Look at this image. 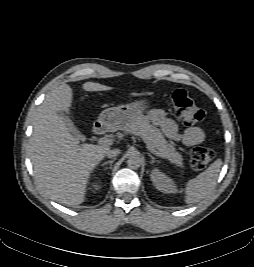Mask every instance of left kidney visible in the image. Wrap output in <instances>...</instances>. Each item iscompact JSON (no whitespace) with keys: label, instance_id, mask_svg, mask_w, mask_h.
<instances>
[{"label":"left kidney","instance_id":"left-kidney-1","mask_svg":"<svg viewBox=\"0 0 254 267\" xmlns=\"http://www.w3.org/2000/svg\"><path fill=\"white\" fill-rule=\"evenodd\" d=\"M151 180L154 186L163 193L170 194L177 192L174 181L158 168L152 170Z\"/></svg>","mask_w":254,"mask_h":267}]
</instances>
